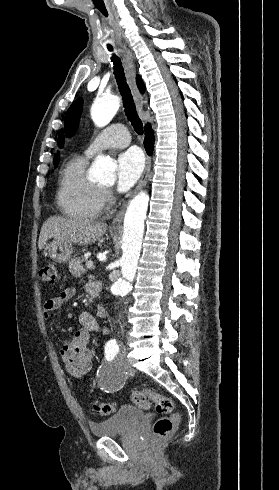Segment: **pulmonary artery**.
Instances as JSON below:
<instances>
[{"mask_svg":"<svg viewBox=\"0 0 279 490\" xmlns=\"http://www.w3.org/2000/svg\"><path fill=\"white\" fill-rule=\"evenodd\" d=\"M129 143L130 138L126 128L120 124L112 125L96 134L84 153L87 157H92L104 149L124 148L128 146Z\"/></svg>","mask_w":279,"mask_h":490,"instance_id":"obj_1","label":"pulmonary artery"}]
</instances>
